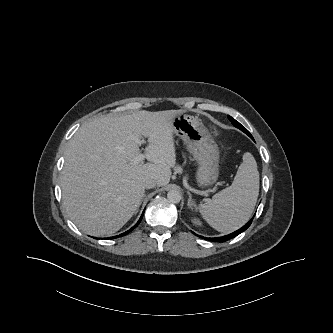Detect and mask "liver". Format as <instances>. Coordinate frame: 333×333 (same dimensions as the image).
<instances>
[{
    "mask_svg": "<svg viewBox=\"0 0 333 333\" xmlns=\"http://www.w3.org/2000/svg\"><path fill=\"white\" fill-rule=\"evenodd\" d=\"M183 110L107 114L83 124L68 143L61 176L63 205L84 233L112 235L127 223L145 193V181L165 186L176 165L172 121ZM147 138L150 163L132 164Z\"/></svg>",
    "mask_w": 333,
    "mask_h": 333,
    "instance_id": "liver-1",
    "label": "liver"
}]
</instances>
